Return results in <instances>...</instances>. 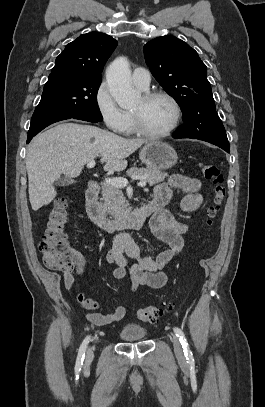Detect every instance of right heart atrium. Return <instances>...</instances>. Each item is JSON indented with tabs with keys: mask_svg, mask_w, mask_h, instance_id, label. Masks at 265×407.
<instances>
[{
	"mask_svg": "<svg viewBox=\"0 0 265 407\" xmlns=\"http://www.w3.org/2000/svg\"><path fill=\"white\" fill-rule=\"evenodd\" d=\"M94 101L97 111L107 128L121 133L126 126L127 115L117 105L106 81H102L96 88Z\"/></svg>",
	"mask_w": 265,
	"mask_h": 407,
	"instance_id": "1",
	"label": "right heart atrium"
}]
</instances>
